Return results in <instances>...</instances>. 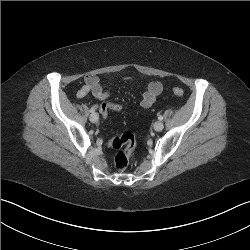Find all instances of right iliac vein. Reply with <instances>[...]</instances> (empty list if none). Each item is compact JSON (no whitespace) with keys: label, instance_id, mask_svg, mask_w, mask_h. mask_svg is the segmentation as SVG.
Masks as SVG:
<instances>
[{"label":"right iliac vein","instance_id":"obj_1","mask_svg":"<svg viewBox=\"0 0 250 250\" xmlns=\"http://www.w3.org/2000/svg\"><path fill=\"white\" fill-rule=\"evenodd\" d=\"M90 121L92 122V123H95V122H97L98 121V119H99V116H98V114L97 113H92L91 115H90Z\"/></svg>","mask_w":250,"mask_h":250}]
</instances>
